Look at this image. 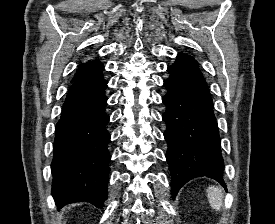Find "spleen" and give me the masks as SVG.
Masks as SVG:
<instances>
[{
	"label": "spleen",
	"instance_id": "obj_1",
	"mask_svg": "<svg viewBox=\"0 0 275 224\" xmlns=\"http://www.w3.org/2000/svg\"><path fill=\"white\" fill-rule=\"evenodd\" d=\"M208 201L212 209L219 211L223 205V192L216 186H210L206 190Z\"/></svg>",
	"mask_w": 275,
	"mask_h": 224
}]
</instances>
